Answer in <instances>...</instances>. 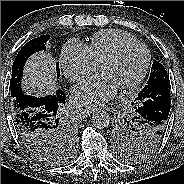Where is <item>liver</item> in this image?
<instances>
[{"instance_id":"liver-1","label":"liver","mask_w":184,"mask_h":184,"mask_svg":"<svg viewBox=\"0 0 184 184\" xmlns=\"http://www.w3.org/2000/svg\"><path fill=\"white\" fill-rule=\"evenodd\" d=\"M55 59L50 53L33 54L25 64L23 89L35 96L49 95L56 85Z\"/></svg>"}]
</instances>
